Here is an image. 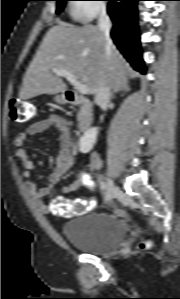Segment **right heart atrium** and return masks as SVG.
Here are the masks:
<instances>
[{
  "label": "right heart atrium",
  "mask_w": 180,
  "mask_h": 299,
  "mask_svg": "<svg viewBox=\"0 0 180 299\" xmlns=\"http://www.w3.org/2000/svg\"><path fill=\"white\" fill-rule=\"evenodd\" d=\"M75 2L72 6V15L81 21H91L107 11L103 0H76Z\"/></svg>",
  "instance_id": "obj_1"
}]
</instances>
